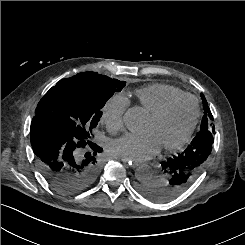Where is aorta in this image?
Segmentation results:
<instances>
[{
	"instance_id": "obj_1",
	"label": "aorta",
	"mask_w": 245,
	"mask_h": 245,
	"mask_svg": "<svg viewBox=\"0 0 245 245\" xmlns=\"http://www.w3.org/2000/svg\"><path fill=\"white\" fill-rule=\"evenodd\" d=\"M124 124L131 132L139 131L143 126V114L138 107L128 109L124 115ZM136 178L145 182L153 178V171L148 165H141L136 170Z\"/></svg>"
}]
</instances>
